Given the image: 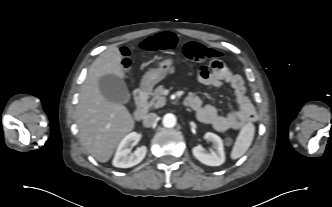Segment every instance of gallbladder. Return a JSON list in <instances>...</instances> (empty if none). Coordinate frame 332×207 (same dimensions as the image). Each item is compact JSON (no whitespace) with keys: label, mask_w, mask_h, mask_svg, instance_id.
<instances>
[{"label":"gallbladder","mask_w":332,"mask_h":207,"mask_svg":"<svg viewBox=\"0 0 332 207\" xmlns=\"http://www.w3.org/2000/svg\"><path fill=\"white\" fill-rule=\"evenodd\" d=\"M102 96L109 102L126 104L130 101V93L122 78L108 74L101 76L98 81Z\"/></svg>","instance_id":"obj_1"}]
</instances>
